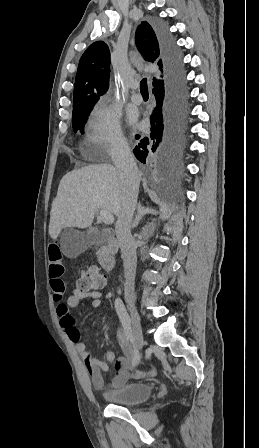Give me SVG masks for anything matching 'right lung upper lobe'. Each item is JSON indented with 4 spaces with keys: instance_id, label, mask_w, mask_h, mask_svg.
I'll return each instance as SVG.
<instances>
[{
    "instance_id": "cb5924a9",
    "label": "right lung upper lobe",
    "mask_w": 259,
    "mask_h": 448,
    "mask_svg": "<svg viewBox=\"0 0 259 448\" xmlns=\"http://www.w3.org/2000/svg\"><path fill=\"white\" fill-rule=\"evenodd\" d=\"M136 44L144 57L151 63H157L163 72L160 42L156 30L143 21L136 30ZM110 52L103 41L92 43L82 55L75 78L73 111L93 107L109 87ZM164 84L163 80L153 78V87ZM153 88V89H154Z\"/></svg>"
}]
</instances>
